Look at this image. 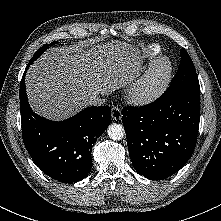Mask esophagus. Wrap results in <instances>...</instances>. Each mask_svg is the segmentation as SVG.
I'll return each mask as SVG.
<instances>
[{"mask_svg":"<svg viewBox=\"0 0 221 221\" xmlns=\"http://www.w3.org/2000/svg\"><path fill=\"white\" fill-rule=\"evenodd\" d=\"M111 116L114 120H121L122 118V112L118 107H113L111 109Z\"/></svg>","mask_w":221,"mask_h":221,"instance_id":"obj_1","label":"esophagus"}]
</instances>
